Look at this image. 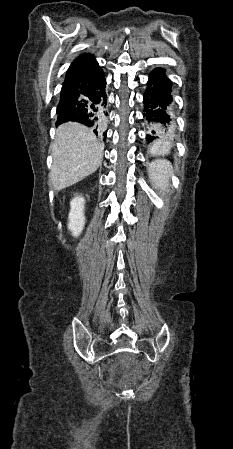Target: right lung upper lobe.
Returning <instances> with one entry per match:
<instances>
[{
	"label": "right lung upper lobe",
	"mask_w": 233,
	"mask_h": 449,
	"mask_svg": "<svg viewBox=\"0 0 233 449\" xmlns=\"http://www.w3.org/2000/svg\"><path fill=\"white\" fill-rule=\"evenodd\" d=\"M96 63L94 56L85 53L77 57L66 72L64 82L72 81L87 72Z\"/></svg>",
	"instance_id": "right-lung-upper-lobe-1"
}]
</instances>
